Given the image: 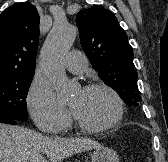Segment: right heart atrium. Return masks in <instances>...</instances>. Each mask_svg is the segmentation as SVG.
<instances>
[{
  "label": "right heart atrium",
  "instance_id": "d8ad5b80",
  "mask_svg": "<svg viewBox=\"0 0 168 162\" xmlns=\"http://www.w3.org/2000/svg\"><path fill=\"white\" fill-rule=\"evenodd\" d=\"M27 107L39 130L46 133L63 131L70 122L67 109L60 104L51 87L35 80L28 92Z\"/></svg>",
  "mask_w": 168,
  "mask_h": 162
}]
</instances>
